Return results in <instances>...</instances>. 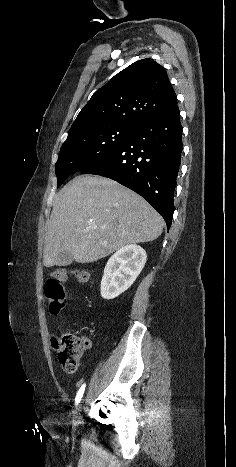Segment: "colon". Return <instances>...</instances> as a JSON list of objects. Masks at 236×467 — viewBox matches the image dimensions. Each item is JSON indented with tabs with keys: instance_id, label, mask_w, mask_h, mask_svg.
<instances>
[{
	"instance_id": "1",
	"label": "colon",
	"mask_w": 236,
	"mask_h": 467,
	"mask_svg": "<svg viewBox=\"0 0 236 467\" xmlns=\"http://www.w3.org/2000/svg\"><path fill=\"white\" fill-rule=\"evenodd\" d=\"M69 276H72L78 283H85L88 280L89 273L85 268L71 270L58 268L54 271L53 276L47 280L44 286L49 311L53 315L58 314L65 306L63 283ZM86 343L87 340L84 337H78L71 332H64L54 338L53 345L57 351L58 361L66 372H75L77 370Z\"/></svg>"
}]
</instances>
